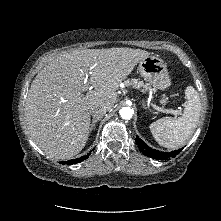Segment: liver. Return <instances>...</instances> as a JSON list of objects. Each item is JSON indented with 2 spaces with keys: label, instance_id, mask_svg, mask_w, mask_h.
I'll use <instances>...</instances> for the list:
<instances>
[{
  "label": "liver",
  "instance_id": "liver-1",
  "mask_svg": "<svg viewBox=\"0 0 221 221\" xmlns=\"http://www.w3.org/2000/svg\"><path fill=\"white\" fill-rule=\"evenodd\" d=\"M150 53L141 49L73 50L57 56L33 80L25 104L27 132L49 157L69 159L86 145L90 106L111 109L119 84ZM87 84L94 90L86 94Z\"/></svg>",
  "mask_w": 221,
  "mask_h": 221
}]
</instances>
